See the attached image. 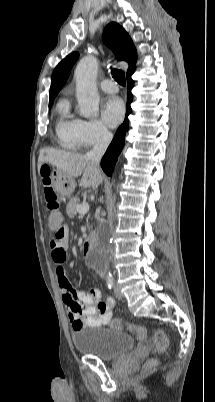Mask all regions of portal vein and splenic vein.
<instances>
[{"mask_svg": "<svg viewBox=\"0 0 215 402\" xmlns=\"http://www.w3.org/2000/svg\"><path fill=\"white\" fill-rule=\"evenodd\" d=\"M88 210H89V204L88 203H82V204H79L78 206H77V212L80 214V215H84V214H86L87 212H88Z\"/></svg>", "mask_w": 215, "mask_h": 402, "instance_id": "18ae733b", "label": "portal vein and splenic vein"}]
</instances>
